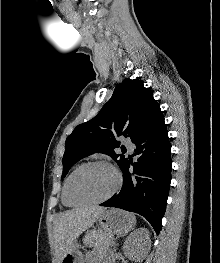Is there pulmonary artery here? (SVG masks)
Returning <instances> with one entry per match:
<instances>
[{"label":"pulmonary artery","instance_id":"pulmonary-artery-1","mask_svg":"<svg viewBox=\"0 0 220 263\" xmlns=\"http://www.w3.org/2000/svg\"><path fill=\"white\" fill-rule=\"evenodd\" d=\"M124 144H125L130 150L133 149V144H132V142H131L130 140L125 139V140H124Z\"/></svg>","mask_w":220,"mask_h":263}]
</instances>
